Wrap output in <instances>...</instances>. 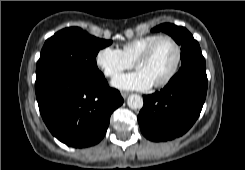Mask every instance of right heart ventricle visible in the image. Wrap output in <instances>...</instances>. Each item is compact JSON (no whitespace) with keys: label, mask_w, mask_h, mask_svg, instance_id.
<instances>
[{"label":"right heart ventricle","mask_w":245,"mask_h":170,"mask_svg":"<svg viewBox=\"0 0 245 170\" xmlns=\"http://www.w3.org/2000/svg\"><path fill=\"white\" fill-rule=\"evenodd\" d=\"M159 34H150L146 36L139 37L132 41L125 43L122 47V52L124 55L132 62L135 61L139 53Z\"/></svg>","instance_id":"obj_1"}]
</instances>
